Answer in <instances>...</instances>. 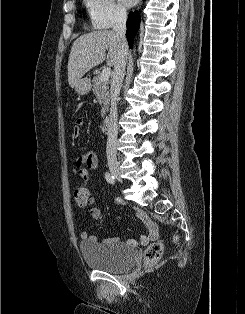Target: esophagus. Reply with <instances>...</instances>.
<instances>
[{
	"label": "esophagus",
	"mask_w": 245,
	"mask_h": 314,
	"mask_svg": "<svg viewBox=\"0 0 245 314\" xmlns=\"http://www.w3.org/2000/svg\"><path fill=\"white\" fill-rule=\"evenodd\" d=\"M141 2H142V1H140V4H139V7H138V8H140V6H141Z\"/></svg>",
	"instance_id": "34e87169"
}]
</instances>
